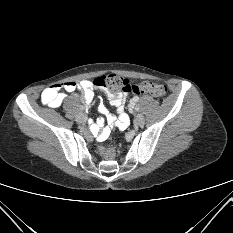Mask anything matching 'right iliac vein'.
I'll use <instances>...</instances> for the list:
<instances>
[{
	"mask_svg": "<svg viewBox=\"0 0 233 233\" xmlns=\"http://www.w3.org/2000/svg\"><path fill=\"white\" fill-rule=\"evenodd\" d=\"M75 120L77 123H83L86 121V116L84 113L80 112L79 114H77Z\"/></svg>",
	"mask_w": 233,
	"mask_h": 233,
	"instance_id": "1",
	"label": "right iliac vein"
}]
</instances>
